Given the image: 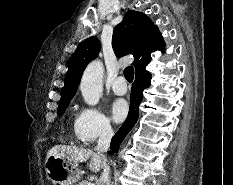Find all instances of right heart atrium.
Returning a JSON list of instances; mask_svg holds the SVG:
<instances>
[{"label":"right heart atrium","mask_w":233,"mask_h":185,"mask_svg":"<svg viewBox=\"0 0 233 185\" xmlns=\"http://www.w3.org/2000/svg\"><path fill=\"white\" fill-rule=\"evenodd\" d=\"M74 131L79 142L90 144L112 133L109 119L97 108L82 107L75 119Z\"/></svg>","instance_id":"right-heart-atrium-1"}]
</instances>
